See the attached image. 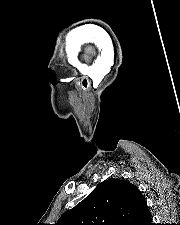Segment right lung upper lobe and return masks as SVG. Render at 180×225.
<instances>
[{"label": "right lung upper lobe", "mask_w": 180, "mask_h": 225, "mask_svg": "<svg viewBox=\"0 0 180 225\" xmlns=\"http://www.w3.org/2000/svg\"><path fill=\"white\" fill-rule=\"evenodd\" d=\"M151 214L138 188L128 181L108 179L56 225H151Z\"/></svg>", "instance_id": "right-lung-upper-lobe-1"}]
</instances>
